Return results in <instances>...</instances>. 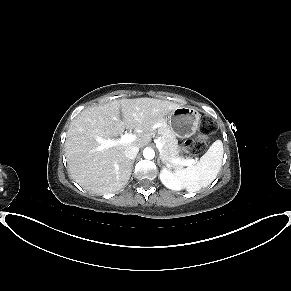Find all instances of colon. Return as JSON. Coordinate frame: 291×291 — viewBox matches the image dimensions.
Instances as JSON below:
<instances>
[{
    "label": "colon",
    "mask_w": 291,
    "mask_h": 291,
    "mask_svg": "<svg viewBox=\"0 0 291 291\" xmlns=\"http://www.w3.org/2000/svg\"><path fill=\"white\" fill-rule=\"evenodd\" d=\"M216 130L214 121L203 119L200 124V132L203 135H209ZM203 148V143L200 140L188 139L182 145V152L187 155L198 154Z\"/></svg>",
    "instance_id": "obj_1"
}]
</instances>
